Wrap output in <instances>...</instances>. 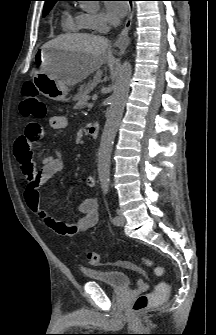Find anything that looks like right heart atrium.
<instances>
[{"label": "right heart atrium", "mask_w": 216, "mask_h": 335, "mask_svg": "<svg viewBox=\"0 0 216 335\" xmlns=\"http://www.w3.org/2000/svg\"><path fill=\"white\" fill-rule=\"evenodd\" d=\"M91 28L97 32H104L107 30V19L103 14H86Z\"/></svg>", "instance_id": "obj_1"}]
</instances>
